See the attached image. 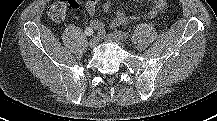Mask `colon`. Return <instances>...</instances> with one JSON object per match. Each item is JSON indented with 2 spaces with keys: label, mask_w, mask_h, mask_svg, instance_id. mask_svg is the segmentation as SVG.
Wrapping results in <instances>:
<instances>
[{
  "label": "colon",
  "mask_w": 217,
  "mask_h": 121,
  "mask_svg": "<svg viewBox=\"0 0 217 121\" xmlns=\"http://www.w3.org/2000/svg\"><path fill=\"white\" fill-rule=\"evenodd\" d=\"M50 19L56 22H61L65 19L67 14V6L63 1H57L52 3L47 10Z\"/></svg>",
  "instance_id": "5ec220e1"
}]
</instances>
